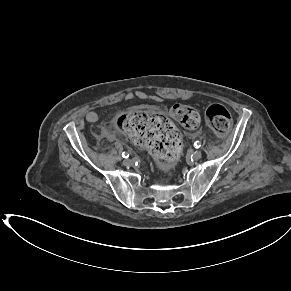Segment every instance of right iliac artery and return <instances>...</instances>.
Wrapping results in <instances>:
<instances>
[{"label": "right iliac artery", "instance_id": "obj_1", "mask_svg": "<svg viewBox=\"0 0 291 291\" xmlns=\"http://www.w3.org/2000/svg\"><path fill=\"white\" fill-rule=\"evenodd\" d=\"M122 157H123V158H128V157H129V154H128L127 152H123V153H122Z\"/></svg>", "mask_w": 291, "mask_h": 291}]
</instances>
